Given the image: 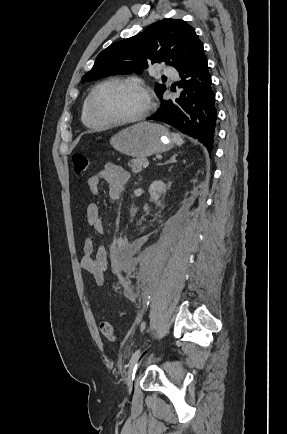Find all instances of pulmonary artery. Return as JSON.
<instances>
[{
    "label": "pulmonary artery",
    "mask_w": 287,
    "mask_h": 434,
    "mask_svg": "<svg viewBox=\"0 0 287 434\" xmlns=\"http://www.w3.org/2000/svg\"><path fill=\"white\" fill-rule=\"evenodd\" d=\"M163 73H164L166 76H168V77H172V78H176L177 75H178V73H177V71L175 70V68H173V67H169V66L164 67V69H163Z\"/></svg>",
    "instance_id": "e3ab8cb5"
}]
</instances>
